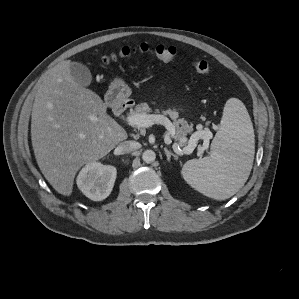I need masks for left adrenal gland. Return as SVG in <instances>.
Returning a JSON list of instances; mask_svg holds the SVG:
<instances>
[{
  "mask_svg": "<svg viewBox=\"0 0 299 299\" xmlns=\"http://www.w3.org/2000/svg\"><path fill=\"white\" fill-rule=\"evenodd\" d=\"M166 157H167V161L170 162L171 161V157H173L175 160L178 159V156L175 155L174 153H172L171 151H169L166 147L164 148Z\"/></svg>",
  "mask_w": 299,
  "mask_h": 299,
  "instance_id": "a2214340",
  "label": "left adrenal gland"
}]
</instances>
